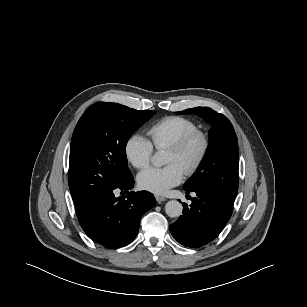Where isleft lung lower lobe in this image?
Here are the masks:
<instances>
[{
    "label": "left lung lower lobe",
    "mask_w": 307,
    "mask_h": 307,
    "mask_svg": "<svg viewBox=\"0 0 307 307\" xmlns=\"http://www.w3.org/2000/svg\"><path fill=\"white\" fill-rule=\"evenodd\" d=\"M185 191L197 196L191 198L190 206L183 203V215L170 225V231L180 244L198 248L219 235L231 217L233 205L205 189Z\"/></svg>",
    "instance_id": "obj_1"
}]
</instances>
